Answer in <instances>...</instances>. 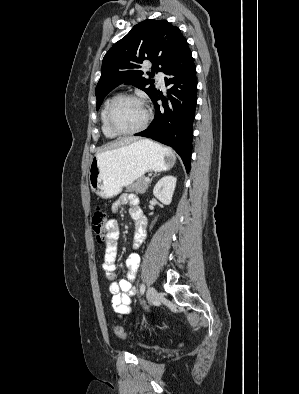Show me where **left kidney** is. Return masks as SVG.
Instances as JSON below:
<instances>
[{
    "instance_id": "1",
    "label": "left kidney",
    "mask_w": 299,
    "mask_h": 394,
    "mask_svg": "<svg viewBox=\"0 0 299 394\" xmlns=\"http://www.w3.org/2000/svg\"><path fill=\"white\" fill-rule=\"evenodd\" d=\"M177 178L171 175L162 177L153 189V195L163 204L169 205L172 201Z\"/></svg>"
}]
</instances>
